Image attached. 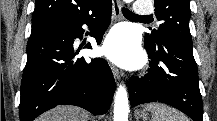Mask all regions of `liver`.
<instances>
[{
	"mask_svg": "<svg viewBox=\"0 0 217 121\" xmlns=\"http://www.w3.org/2000/svg\"><path fill=\"white\" fill-rule=\"evenodd\" d=\"M36 121H90V116L80 107L64 105L55 107Z\"/></svg>",
	"mask_w": 217,
	"mask_h": 121,
	"instance_id": "6515ba94",
	"label": "liver"
}]
</instances>
